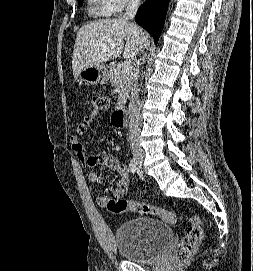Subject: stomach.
Instances as JSON below:
<instances>
[{"mask_svg": "<svg viewBox=\"0 0 253 271\" xmlns=\"http://www.w3.org/2000/svg\"><path fill=\"white\" fill-rule=\"evenodd\" d=\"M80 79L87 84L106 83L109 79V72L105 65L90 66L83 69L80 74Z\"/></svg>", "mask_w": 253, "mask_h": 271, "instance_id": "obj_1", "label": "stomach"}]
</instances>
